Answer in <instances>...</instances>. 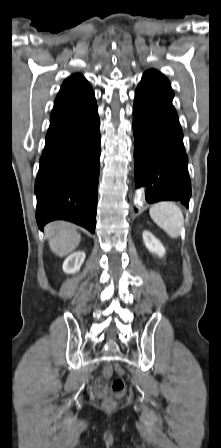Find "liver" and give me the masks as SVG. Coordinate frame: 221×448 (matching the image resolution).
<instances>
[{"mask_svg":"<svg viewBox=\"0 0 221 448\" xmlns=\"http://www.w3.org/2000/svg\"><path fill=\"white\" fill-rule=\"evenodd\" d=\"M47 231L50 233V249L59 257H64L74 251L81 240V235L67 223L54 222L47 227Z\"/></svg>","mask_w":221,"mask_h":448,"instance_id":"liver-1","label":"liver"}]
</instances>
